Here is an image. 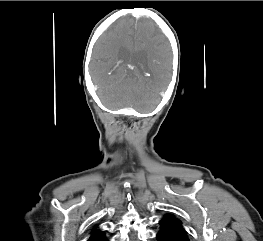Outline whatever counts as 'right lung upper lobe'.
Masks as SVG:
<instances>
[{
    "label": "right lung upper lobe",
    "instance_id": "right-lung-upper-lobe-1",
    "mask_svg": "<svg viewBox=\"0 0 263 241\" xmlns=\"http://www.w3.org/2000/svg\"><path fill=\"white\" fill-rule=\"evenodd\" d=\"M103 239H105V233L100 231L97 226L93 227L88 241H102Z\"/></svg>",
    "mask_w": 263,
    "mask_h": 241
}]
</instances>
